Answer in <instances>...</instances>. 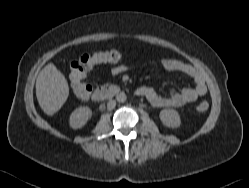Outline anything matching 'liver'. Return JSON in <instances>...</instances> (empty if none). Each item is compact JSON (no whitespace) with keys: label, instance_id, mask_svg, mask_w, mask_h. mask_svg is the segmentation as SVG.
I'll return each mask as SVG.
<instances>
[{"label":"liver","instance_id":"obj_1","mask_svg":"<svg viewBox=\"0 0 249 188\" xmlns=\"http://www.w3.org/2000/svg\"><path fill=\"white\" fill-rule=\"evenodd\" d=\"M69 96V86L65 76L53 63L47 64L36 80V97L41 109L53 115L61 109Z\"/></svg>","mask_w":249,"mask_h":188}]
</instances>
